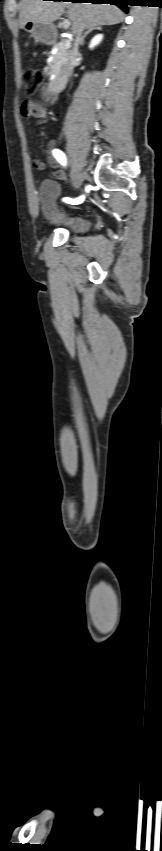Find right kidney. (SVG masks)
<instances>
[{
    "mask_svg": "<svg viewBox=\"0 0 162 851\" xmlns=\"http://www.w3.org/2000/svg\"><path fill=\"white\" fill-rule=\"evenodd\" d=\"M102 39H103L102 34H98L95 37H93V39L91 40V42L89 44V48L93 49L96 45H98L102 41Z\"/></svg>",
    "mask_w": 162,
    "mask_h": 851,
    "instance_id": "1",
    "label": "right kidney"
}]
</instances>
